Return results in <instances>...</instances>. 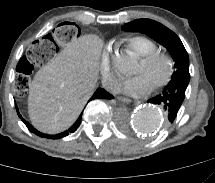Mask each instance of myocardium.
<instances>
[{"instance_id":"f54148a6","label":"myocardium","mask_w":215,"mask_h":183,"mask_svg":"<svg viewBox=\"0 0 215 183\" xmlns=\"http://www.w3.org/2000/svg\"><path fill=\"white\" fill-rule=\"evenodd\" d=\"M140 60L144 64H151L156 60H162L165 62L166 66H167V71H166L165 76L153 85L154 89L162 88L171 81L173 74H174L175 65H174V61L169 53L156 49L152 52L142 55L140 57Z\"/></svg>"}]
</instances>
